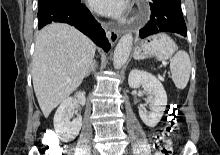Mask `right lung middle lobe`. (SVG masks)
<instances>
[{"label": "right lung middle lobe", "instance_id": "1", "mask_svg": "<svg viewBox=\"0 0 220 155\" xmlns=\"http://www.w3.org/2000/svg\"><path fill=\"white\" fill-rule=\"evenodd\" d=\"M77 2H81V0H38V4H39L38 10L59 3H77Z\"/></svg>", "mask_w": 220, "mask_h": 155}]
</instances>
